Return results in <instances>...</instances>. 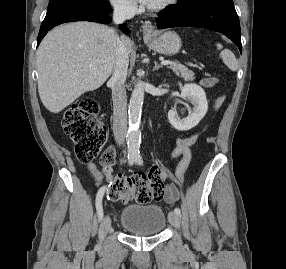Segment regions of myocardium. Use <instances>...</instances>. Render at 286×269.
<instances>
[{"label": "myocardium", "instance_id": "1", "mask_svg": "<svg viewBox=\"0 0 286 269\" xmlns=\"http://www.w3.org/2000/svg\"><path fill=\"white\" fill-rule=\"evenodd\" d=\"M177 2V0H163L162 2L155 4V5H150L148 9L151 12H161L164 11L168 8H170L172 5H174Z\"/></svg>", "mask_w": 286, "mask_h": 269}]
</instances>
